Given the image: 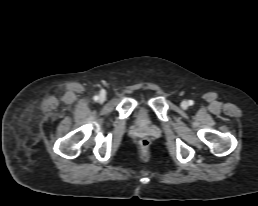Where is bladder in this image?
Masks as SVG:
<instances>
[{"mask_svg": "<svg viewBox=\"0 0 258 206\" xmlns=\"http://www.w3.org/2000/svg\"><path fill=\"white\" fill-rule=\"evenodd\" d=\"M145 107L143 105H140L138 108V117L141 118L145 113Z\"/></svg>", "mask_w": 258, "mask_h": 206, "instance_id": "bladder-1", "label": "bladder"}]
</instances>
